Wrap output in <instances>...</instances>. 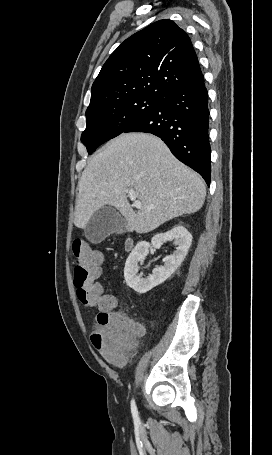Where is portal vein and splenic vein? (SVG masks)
I'll list each match as a JSON object with an SVG mask.
<instances>
[{
	"instance_id": "obj_1",
	"label": "portal vein and splenic vein",
	"mask_w": 272,
	"mask_h": 455,
	"mask_svg": "<svg viewBox=\"0 0 272 455\" xmlns=\"http://www.w3.org/2000/svg\"><path fill=\"white\" fill-rule=\"evenodd\" d=\"M128 196H129L130 200L133 202V206H135L138 209H140L142 207L141 202L137 200L136 194L133 191H130L128 193Z\"/></svg>"
}]
</instances>
